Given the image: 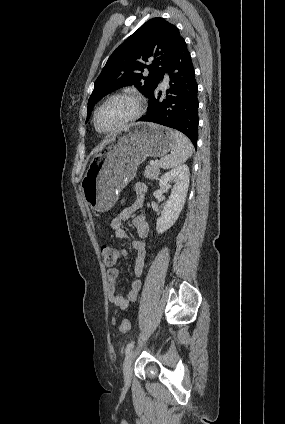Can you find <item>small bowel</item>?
<instances>
[{
  "instance_id": "obj_1",
  "label": "small bowel",
  "mask_w": 285,
  "mask_h": 424,
  "mask_svg": "<svg viewBox=\"0 0 285 424\" xmlns=\"http://www.w3.org/2000/svg\"><path fill=\"white\" fill-rule=\"evenodd\" d=\"M146 192L147 188L144 184H137L135 187V200L131 204L125 205L110 223L115 237L118 239H129L136 253L133 267L135 279L131 283V288L127 296H125L117 286L119 270L117 268H109L107 271L108 299L115 307L122 310L127 309L131 302L137 300L142 286L140 278L144 272L146 259V245L142 239L148 235L149 228L146 218L143 215H136L133 217L132 215L141 207ZM131 217L132 224L136 229L139 239H130L123 228V223ZM120 253L124 254L125 252L121 251Z\"/></svg>"
}]
</instances>
